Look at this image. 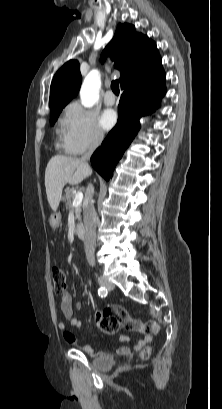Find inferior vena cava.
Instances as JSON below:
<instances>
[{
	"label": "inferior vena cava",
	"instance_id": "obj_1",
	"mask_svg": "<svg viewBox=\"0 0 222 409\" xmlns=\"http://www.w3.org/2000/svg\"><path fill=\"white\" fill-rule=\"evenodd\" d=\"M102 139H103L102 133L98 132L96 136L94 137L93 141L91 142L88 148V151L80 158L81 162L85 164L89 169L90 167L88 165V161L90 160V157L92 156L95 149L101 143ZM93 194H94V188L92 184H89L86 189V193H85L83 220H84V228H85V234H84L85 254H86L88 263L92 266L95 265L94 253H95V246H96V220H97L96 211H95L94 204H93L94 202L92 199Z\"/></svg>",
	"mask_w": 222,
	"mask_h": 409
}]
</instances>
